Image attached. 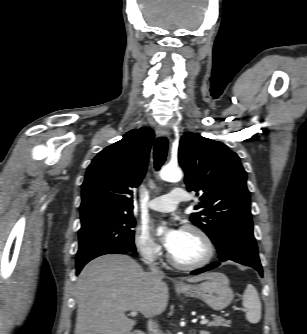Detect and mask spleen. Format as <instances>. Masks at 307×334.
<instances>
[{"label": "spleen", "mask_w": 307, "mask_h": 334, "mask_svg": "<svg viewBox=\"0 0 307 334\" xmlns=\"http://www.w3.org/2000/svg\"><path fill=\"white\" fill-rule=\"evenodd\" d=\"M243 306L246 308V319L256 324L261 319V302L258 292L252 284H248L243 294Z\"/></svg>", "instance_id": "3e777b00"}]
</instances>
